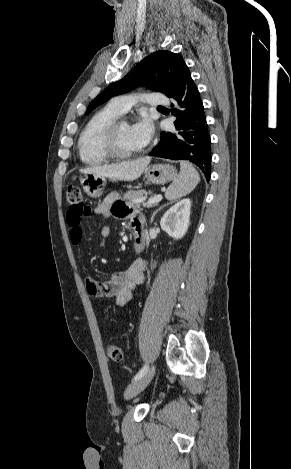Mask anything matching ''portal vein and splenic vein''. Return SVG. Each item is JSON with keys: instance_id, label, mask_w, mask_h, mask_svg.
Listing matches in <instances>:
<instances>
[{"instance_id": "18ae733b", "label": "portal vein and splenic vein", "mask_w": 291, "mask_h": 469, "mask_svg": "<svg viewBox=\"0 0 291 469\" xmlns=\"http://www.w3.org/2000/svg\"><path fill=\"white\" fill-rule=\"evenodd\" d=\"M161 200H162V195H156L153 198L149 199L147 203H144V205L158 203ZM138 202H140V200H138Z\"/></svg>"}]
</instances>
